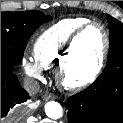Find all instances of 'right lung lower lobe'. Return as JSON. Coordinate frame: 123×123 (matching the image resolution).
Returning <instances> with one entry per match:
<instances>
[{
	"instance_id": "right-lung-lower-lobe-1",
	"label": "right lung lower lobe",
	"mask_w": 123,
	"mask_h": 123,
	"mask_svg": "<svg viewBox=\"0 0 123 123\" xmlns=\"http://www.w3.org/2000/svg\"><path fill=\"white\" fill-rule=\"evenodd\" d=\"M29 98L27 91L20 86L17 76L12 71L1 69V118L16 104Z\"/></svg>"
}]
</instances>
